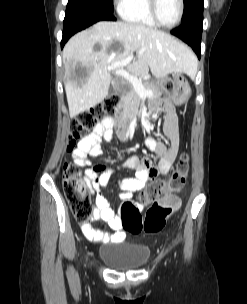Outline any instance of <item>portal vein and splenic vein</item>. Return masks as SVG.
<instances>
[{
  "instance_id": "18ae733b",
  "label": "portal vein and splenic vein",
  "mask_w": 247,
  "mask_h": 304,
  "mask_svg": "<svg viewBox=\"0 0 247 304\" xmlns=\"http://www.w3.org/2000/svg\"><path fill=\"white\" fill-rule=\"evenodd\" d=\"M133 59V54L128 55L125 59L120 60L114 64H111L107 67L109 71L111 70H116L115 73L117 75L122 76L125 78L127 81H129L133 89L140 95V96H147V97H152L153 92L151 90H148L144 87L142 84L141 80H139L137 77L131 75L129 72L123 69L124 66L128 65Z\"/></svg>"
}]
</instances>
